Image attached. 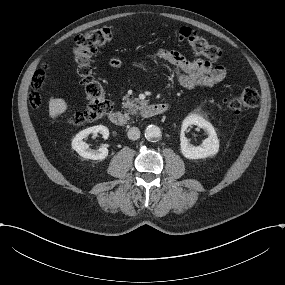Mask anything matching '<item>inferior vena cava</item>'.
Returning <instances> with one entry per match:
<instances>
[{"mask_svg": "<svg viewBox=\"0 0 285 285\" xmlns=\"http://www.w3.org/2000/svg\"><path fill=\"white\" fill-rule=\"evenodd\" d=\"M127 135L130 140H137L140 137V130L137 127H131Z\"/></svg>", "mask_w": 285, "mask_h": 285, "instance_id": "obj_1", "label": "inferior vena cava"}]
</instances>
